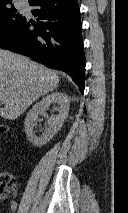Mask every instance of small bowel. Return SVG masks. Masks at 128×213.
<instances>
[{"mask_svg": "<svg viewBox=\"0 0 128 213\" xmlns=\"http://www.w3.org/2000/svg\"><path fill=\"white\" fill-rule=\"evenodd\" d=\"M16 208H17V204L15 202H13L11 204V212L14 213L16 211Z\"/></svg>", "mask_w": 128, "mask_h": 213, "instance_id": "obj_1", "label": "small bowel"}]
</instances>
